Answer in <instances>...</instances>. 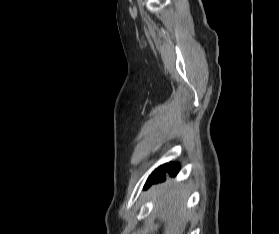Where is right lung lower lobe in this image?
I'll return each mask as SVG.
<instances>
[{
    "mask_svg": "<svg viewBox=\"0 0 279 234\" xmlns=\"http://www.w3.org/2000/svg\"><path fill=\"white\" fill-rule=\"evenodd\" d=\"M179 170L177 163H167L158 167L148 178L144 189H147L154 183L162 182L166 179V173L170 176H176Z\"/></svg>",
    "mask_w": 279,
    "mask_h": 234,
    "instance_id": "98d812e1",
    "label": "right lung lower lobe"
}]
</instances>
